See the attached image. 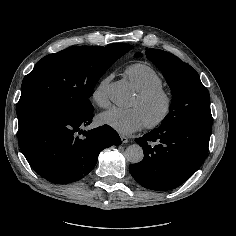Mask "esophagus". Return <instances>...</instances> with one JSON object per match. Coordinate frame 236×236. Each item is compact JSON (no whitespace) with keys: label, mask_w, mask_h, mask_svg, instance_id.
<instances>
[{"label":"esophagus","mask_w":236,"mask_h":236,"mask_svg":"<svg viewBox=\"0 0 236 236\" xmlns=\"http://www.w3.org/2000/svg\"><path fill=\"white\" fill-rule=\"evenodd\" d=\"M120 138H121L122 143H127L128 142V138L126 136L121 134Z\"/></svg>","instance_id":"obj_1"}]
</instances>
